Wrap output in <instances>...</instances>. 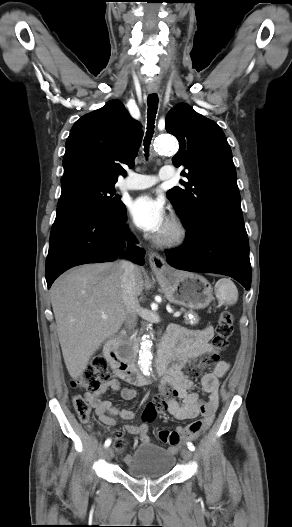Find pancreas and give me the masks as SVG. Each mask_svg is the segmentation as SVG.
I'll list each match as a JSON object with an SVG mask.
<instances>
[{
    "mask_svg": "<svg viewBox=\"0 0 292 527\" xmlns=\"http://www.w3.org/2000/svg\"><path fill=\"white\" fill-rule=\"evenodd\" d=\"M181 312H184V322L186 324H190V325H196L198 324L199 322V317L196 313L192 312V311H186L185 309H181ZM192 315L193 317L190 318L189 316Z\"/></svg>",
    "mask_w": 292,
    "mask_h": 527,
    "instance_id": "cf45deb5",
    "label": "pancreas"
}]
</instances>
